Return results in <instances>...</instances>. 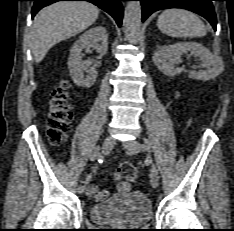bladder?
Wrapping results in <instances>:
<instances>
[{"label":"bladder","instance_id":"obj_1","mask_svg":"<svg viewBox=\"0 0 234 231\" xmlns=\"http://www.w3.org/2000/svg\"><path fill=\"white\" fill-rule=\"evenodd\" d=\"M90 219L105 226H139L148 223L153 215L150 200L141 192L115 195L89 209Z\"/></svg>","mask_w":234,"mask_h":231}]
</instances>
